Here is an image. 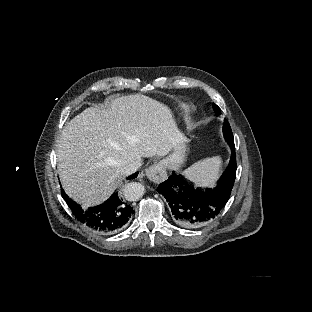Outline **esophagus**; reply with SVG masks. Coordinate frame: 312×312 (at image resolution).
<instances>
[{"mask_svg": "<svg viewBox=\"0 0 312 312\" xmlns=\"http://www.w3.org/2000/svg\"><path fill=\"white\" fill-rule=\"evenodd\" d=\"M145 175L154 183L163 182L167 178V166L164 162H158L147 168Z\"/></svg>", "mask_w": 312, "mask_h": 312, "instance_id": "1", "label": "esophagus"}]
</instances>
